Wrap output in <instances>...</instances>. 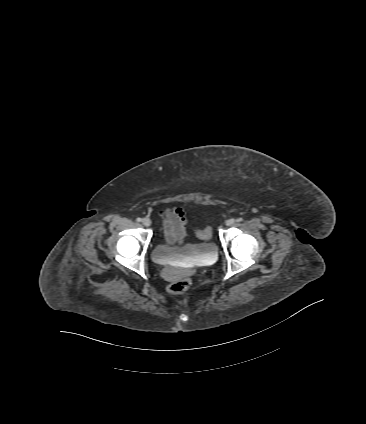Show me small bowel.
Masks as SVG:
<instances>
[{
	"instance_id": "1",
	"label": "small bowel",
	"mask_w": 366,
	"mask_h": 424,
	"mask_svg": "<svg viewBox=\"0 0 366 424\" xmlns=\"http://www.w3.org/2000/svg\"><path fill=\"white\" fill-rule=\"evenodd\" d=\"M163 233L169 243L182 242L185 238L184 214L180 208L165 209L160 212Z\"/></svg>"
}]
</instances>
